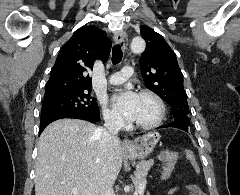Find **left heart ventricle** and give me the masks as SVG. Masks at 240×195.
<instances>
[{
	"label": "left heart ventricle",
	"mask_w": 240,
	"mask_h": 195,
	"mask_svg": "<svg viewBox=\"0 0 240 195\" xmlns=\"http://www.w3.org/2000/svg\"><path fill=\"white\" fill-rule=\"evenodd\" d=\"M157 113V107L150 97L139 98L138 108L134 123L145 124L154 119Z\"/></svg>",
	"instance_id": "left-heart-ventricle-1"
}]
</instances>
